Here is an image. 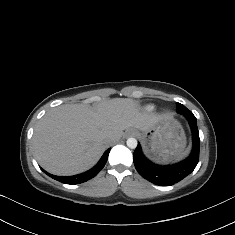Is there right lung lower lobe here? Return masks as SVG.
Segmentation results:
<instances>
[{
    "label": "right lung lower lobe",
    "instance_id": "1",
    "mask_svg": "<svg viewBox=\"0 0 235 235\" xmlns=\"http://www.w3.org/2000/svg\"><path fill=\"white\" fill-rule=\"evenodd\" d=\"M109 152H110V149L106 150L105 153L103 154L102 158L98 162V164L96 166H94L92 169H90L89 171L82 173V174H78V175H74V176H55V175L47 173L42 168L41 169L47 175H49L50 177H52L53 179H55L59 182H62L65 184H80V183H83V182L90 180L91 178L95 177L100 172V170L106 164Z\"/></svg>",
    "mask_w": 235,
    "mask_h": 235
}]
</instances>
